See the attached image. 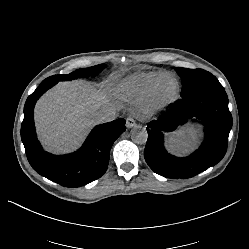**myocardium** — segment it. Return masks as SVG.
Masks as SVG:
<instances>
[{
  "label": "myocardium",
  "instance_id": "f54148a6",
  "mask_svg": "<svg viewBox=\"0 0 249 249\" xmlns=\"http://www.w3.org/2000/svg\"><path fill=\"white\" fill-rule=\"evenodd\" d=\"M175 81V90L172 95L167 97H162L159 94V90L161 86L170 81ZM181 94V83L177 76L173 74H167L162 76L161 78L157 79L148 91L143 95L140 105L139 111L143 116L146 117H153L164 113L168 110L171 106H173L178 99L180 98Z\"/></svg>",
  "mask_w": 249,
  "mask_h": 249
}]
</instances>
